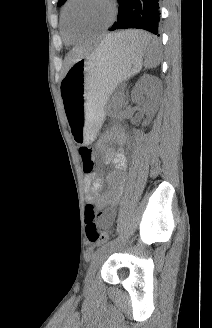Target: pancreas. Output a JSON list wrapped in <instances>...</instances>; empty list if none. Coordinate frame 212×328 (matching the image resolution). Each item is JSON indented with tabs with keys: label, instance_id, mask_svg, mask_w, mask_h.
I'll list each match as a JSON object with an SVG mask.
<instances>
[{
	"label": "pancreas",
	"instance_id": "obj_1",
	"mask_svg": "<svg viewBox=\"0 0 212 328\" xmlns=\"http://www.w3.org/2000/svg\"><path fill=\"white\" fill-rule=\"evenodd\" d=\"M123 96L118 95L112 97V99L109 102V108L113 109L115 113L119 111V109L123 106Z\"/></svg>",
	"mask_w": 212,
	"mask_h": 328
}]
</instances>
